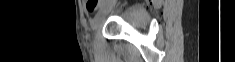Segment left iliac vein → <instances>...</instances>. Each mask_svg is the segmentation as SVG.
<instances>
[{
    "label": "left iliac vein",
    "mask_w": 235,
    "mask_h": 62,
    "mask_svg": "<svg viewBox=\"0 0 235 62\" xmlns=\"http://www.w3.org/2000/svg\"><path fill=\"white\" fill-rule=\"evenodd\" d=\"M114 4H104L91 22L93 31H97L105 20L106 16L112 11Z\"/></svg>",
    "instance_id": "1"
}]
</instances>
